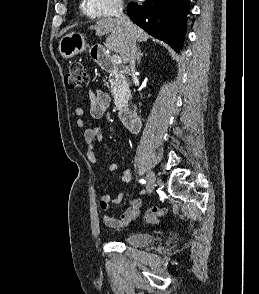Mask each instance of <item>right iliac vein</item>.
Segmentation results:
<instances>
[{
    "instance_id": "63e3f726",
    "label": "right iliac vein",
    "mask_w": 259,
    "mask_h": 294,
    "mask_svg": "<svg viewBox=\"0 0 259 294\" xmlns=\"http://www.w3.org/2000/svg\"><path fill=\"white\" fill-rule=\"evenodd\" d=\"M147 191L149 194H151L155 188L156 182H157V176L153 171H149L147 175Z\"/></svg>"
}]
</instances>
